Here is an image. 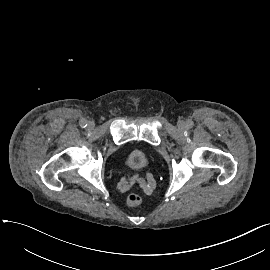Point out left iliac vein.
Instances as JSON below:
<instances>
[{"label": "left iliac vein", "instance_id": "1", "mask_svg": "<svg viewBox=\"0 0 270 270\" xmlns=\"http://www.w3.org/2000/svg\"><path fill=\"white\" fill-rule=\"evenodd\" d=\"M178 127H179L181 130H184V129L186 128L185 122L180 121V122L178 123Z\"/></svg>", "mask_w": 270, "mask_h": 270}]
</instances>
